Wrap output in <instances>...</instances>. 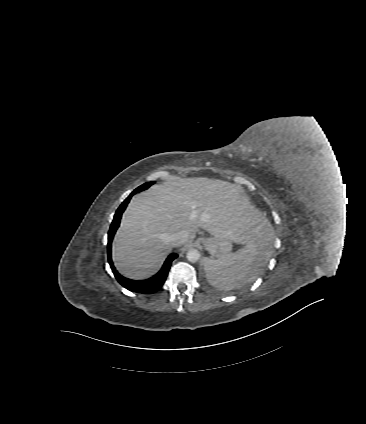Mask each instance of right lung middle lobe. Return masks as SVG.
<instances>
[{
  "label": "right lung middle lobe",
  "instance_id": "right-lung-middle-lobe-1",
  "mask_svg": "<svg viewBox=\"0 0 366 424\" xmlns=\"http://www.w3.org/2000/svg\"><path fill=\"white\" fill-rule=\"evenodd\" d=\"M152 184H154V182H147V183H145V184H143V185H141V186H139L137 189V192H140V191H143V190H145V189H147L148 187H150ZM136 192V193H137Z\"/></svg>",
  "mask_w": 366,
  "mask_h": 424
}]
</instances>
